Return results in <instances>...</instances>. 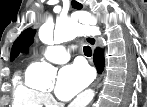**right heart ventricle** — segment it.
<instances>
[{"label": "right heart ventricle", "mask_w": 147, "mask_h": 107, "mask_svg": "<svg viewBox=\"0 0 147 107\" xmlns=\"http://www.w3.org/2000/svg\"><path fill=\"white\" fill-rule=\"evenodd\" d=\"M44 94L30 87L17 72L12 81V103L14 107H43Z\"/></svg>", "instance_id": "obj_1"}]
</instances>
